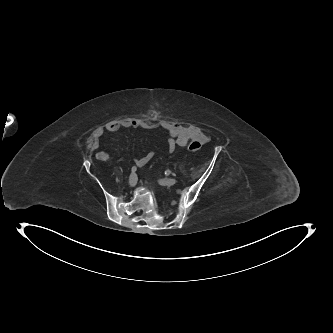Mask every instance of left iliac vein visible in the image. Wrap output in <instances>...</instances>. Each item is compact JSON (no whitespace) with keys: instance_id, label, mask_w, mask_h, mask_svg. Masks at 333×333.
Segmentation results:
<instances>
[{"instance_id":"1","label":"left iliac vein","mask_w":333,"mask_h":333,"mask_svg":"<svg viewBox=\"0 0 333 333\" xmlns=\"http://www.w3.org/2000/svg\"><path fill=\"white\" fill-rule=\"evenodd\" d=\"M176 182H177V179H176V178L161 179V180L159 181V183H160L162 186H167V187L174 185Z\"/></svg>"}]
</instances>
